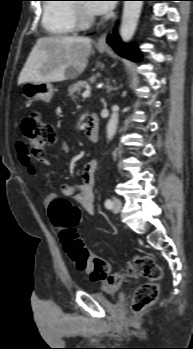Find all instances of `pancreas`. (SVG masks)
<instances>
[{
  "label": "pancreas",
  "instance_id": "cf45deb5",
  "mask_svg": "<svg viewBox=\"0 0 193 349\" xmlns=\"http://www.w3.org/2000/svg\"><path fill=\"white\" fill-rule=\"evenodd\" d=\"M88 86V83L86 81H78L76 83H74L73 85H71L68 88V96H70L73 100L76 99V93H80V91L83 88H86Z\"/></svg>",
  "mask_w": 193,
  "mask_h": 349
}]
</instances>
